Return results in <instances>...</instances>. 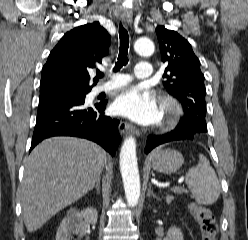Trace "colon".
Segmentation results:
<instances>
[{"instance_id":"colon-1","label":"colon","mask_w":248,"mask_h":240,"mask_svg":"<svg viewBox=\"0 0 248 240\" xmlns=\"http://www.w3.org/2000/svg\"><path fill=\"white\" fill-rule=\"evenodd\" d=\"M189 209L199 224L202 240H216L218 225L211 211L197 204H191Z\"/></svg>"}]
</instances>
